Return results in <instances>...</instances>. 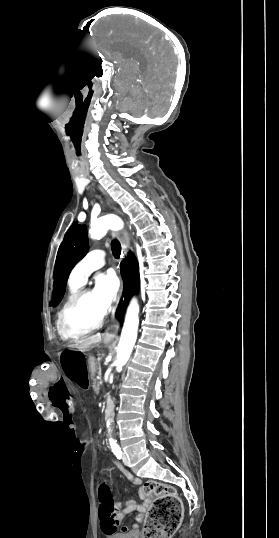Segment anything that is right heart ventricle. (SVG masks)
Instances as JSON below:
<instances>
[{
    "label": "right heart ventricle",
    "instance_id": "1",
    "mask_svg": "<svg viewBox=\"0 0 279 538\" xmlns=\"http://www.w3.org/2000/svg\"><path fill=\"white\" fill-rule=\"evenodd\" d=\"M89 230H90V233L92 235H98V234H101L102 232L104 233L106 231V219H105V216L101 213V211H99V210H93L92 211ZM75 267L73 268V270L71 272L69 282H68V291H67L66 297H65V299H64V301H63V303H62V305H61V307H60V309H59V311L57 313V319H56V327H57L59 335L61 336V338L63 340H68V339L63 337L61 335L60 331H59V318H60V315H61L63 309L65 308V306L68 304V302L77 294V292L84 285L83 283H79V282L74 281L72 279V274H73V272L75 270Z\"/></svg>",
    "mask_w": 279,
    "mask_h": 538
}]
</instances>
